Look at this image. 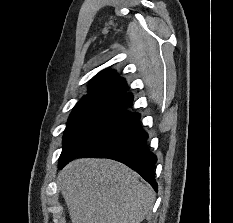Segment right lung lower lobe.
Returning a JSON list of instances; mask_svg holds the SVG:
<instances>
[{
    "label": "right lung lower lobe",
    "instance_id": "obj_1",
    "mask_svg": "<svg viewBox=\"0 0 233 223\" xmlns=\"http://www.w3.org/2000/svg\"><path fill=\"white\" fill-rule=\"evenodd\" d=\"M124 96L127 108L131 107L133 95L129 93ZM126 110L82 153L61 154L59 169L75 158H110L122 162L138 172L157 191L154 176V165L157 158L146 146L148 135L139 124L140 114L129 113Z\"/></svg>",
    "mask_w": 233,
    "mask_h": 223
}]
</instances>
